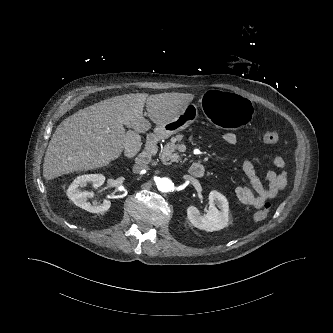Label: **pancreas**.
<instances>
[{
    "instance_id": "cf45deb5",
    "label": "pancreas",
    "mask_w": 333,
    "mask_h": 333,
    "mask_svg": "<svg viewBox=\"0 0 333 333\" xmlns=\"http://www.w3.org/2000/svg\"><path fill=\"white\" fill-rule=\"evenodd\" d=\"M180 141V138H172L160 151L159 158L163 164H170L172 162L179 161L178 153H175L178 144L176 142Z\"/></svg>"
}]
</instances>
